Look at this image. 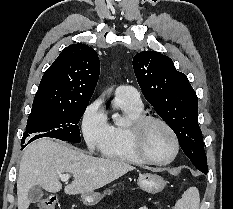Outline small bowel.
Segmentation results:
<instances>
[{"label": "small bowel", "mask_w": 233, "mask_h": 209, "mask_svg": "<svg viewBox=\"0 0 233 209\" xmlns=\"http://www.w3.org/2000/svg\"><path fill=\"white\" fill-rule=\"evenodd\" d=\"M139 209H149V208L144 206V207H140Z\"/></svg>", "instance_id": "c3829d8e"}]
</instances>
